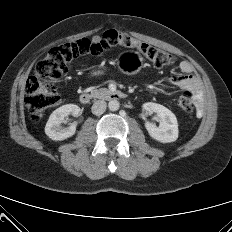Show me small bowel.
Listing matches in <instances>:
<instances>
[{
    "label": "small bowel",
    "instance_id": "1",
    "mask_svg": "<svg viewBox=\"0 0 232 232\" xmlns=\"http://www.w3.org/2000/svg\"><path fill=\"white\" fill-rule=\"evenodd\" d=\"M180 74H175L169 77L170 84L175 85L186 92H190L199 102V113L202 110V91L201 83L195 73L193 65L189 61H181L179 63Z\"/></svg>",
    "mask_w": 232,
    "mask_h": 232
}]
</instances>
